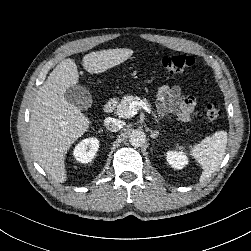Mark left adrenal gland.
Listing matches in <instances>:
<instances>
[{
    "label": "left adrenal gland",
    "instance_id": "obj_1",
    "mask_svg": "<svg viewBox=\"0 0 251 251\" xmlns=\"http://www.w3.org/2000/svg\"><path fill=\"white\" fill-rule=\"evenodd\" d=\"M158 135H159V132L155 131V132H151L150 137L151 138H156V137H158Z\"/></svg>",
    "mask_w": 251,
    "mask_h": 251
}]
</instances>
